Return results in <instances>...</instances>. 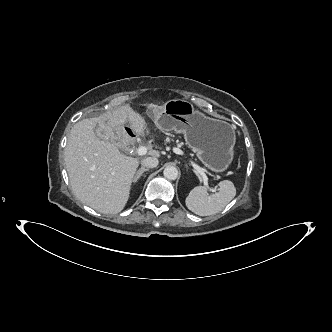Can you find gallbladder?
Instances as JSON below:
<instances>
[{
    "mask_svg": "<svg viewBox=\"0 0 332 332\" xmlns=\"http://www.w3.org/2000/svg\"><path fill=\"white\" fill-rule=\"evenodd\" d=\"M97 136L99 137V138H105V134H103V133H97Z\"/></svg>",
    "mask_w": 332,
    "mask_h": 332,
    "instance_id": "bac80fb5",
    "label": "gallbladder"
}]
</instances>
